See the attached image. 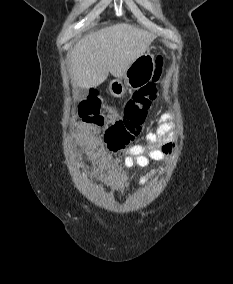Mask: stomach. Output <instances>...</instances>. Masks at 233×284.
<instances>
[{
	"instance_id": "0dacf381",
	"label": "stomach",
	"mask_w": 233,
	"mask_h": 284,
	"mask_svg": "<svg viewBox=\"0 0 233 284\" xmlns=\"http://www.w3.org/2000/svg\"><path fill=\"white\" fill-rule=\"evenodd\" d=\"M154 71V56L144 53L130 65L123 76L111 81L109 91L115 97H122L127 88L139 89L146 85L152 79Z\"/></svg>"
}]
</instances>
